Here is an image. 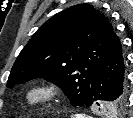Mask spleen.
I'll use <instances>...</instances> for the list:
<instances>
[{"instance_id":"obj_1","label":"spleen","mask_w":133,"mask_h":118,"mask_svg":"<svg viewBox=\"0 0 133 118\" xmlns=\"http://www.w3.org/2000/svg\"><path fill=\"white\" fill-rule=\"evenodd\" d=\"M74 118H80L79 116H76V117H74ZM84 118V117H83Z\"/></svg>"}]
</instances>
